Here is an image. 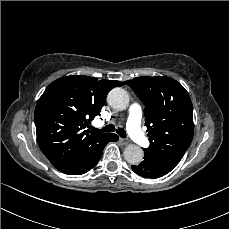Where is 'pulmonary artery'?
Masks as SVG:
<instances>
[{
	"label": "pulmonary artery",
	"mask_w": 229,
	"mask_h": 229,
	"mask_svg": "<svg viewBox=\"0 0 229 229\" xmlns=\"http://www.w3.org/2000/svg\"><path fill=\"white\" fill-rule=\"evenodd\" d=\"M142 106L134 102L126 108V130L133 140L139 145L146 147L149 145L150 140L142 133ZM104 123L99 122L97 125L102 126Z\"/></svg>",
	"instance_id": "e3ab8cb5"
}]
</instances>
